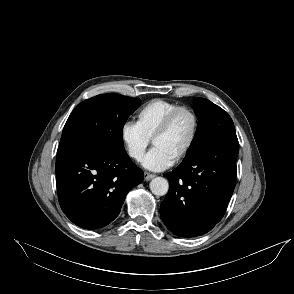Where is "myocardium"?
I'll use <instances>...</instances> for the list:
<instances>
[{
    "label": "myocardium",
    "mask_w": 294,
    "mask_h": 294,
    "mask_svg": "<svg viewBox=\"0 0 294 294\" xmlns=\"http://www.w3.org/2000/svg\"><path fill=\"white\" fill-rule=\"evenodd\" d=\"M181 113H188L191 116L193 121V128H192V133L187 145L175 159L177 162L182 161L184 158H186L196 143L198 133H199L200 123H199V117L197 113L195 112V110L191 108L190 106H185V105L175 108L166 116V118L160 124V126L158 127V129L156 130V132L154 133L152 137V143L154 144L156 139H158L159 137H161L162 135L168 132V130L171 128L172 124L174 123L175 119Z\"/></svg>",
    "instance_id": "myocardium-1"
}]
</instances>
